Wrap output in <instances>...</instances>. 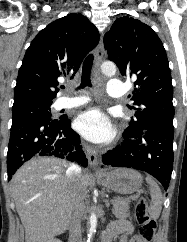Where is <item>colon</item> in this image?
Segmentation results:
<instances>
[{
	"label": "colon",
	"mask_w": 187,
	"mask_h": 242,
	"mask_svg": "<svg viewBox=\"0 0 187 242\" xmlns=\"http://www.w3.org/2000/svg\"><path fill=\"white\" fill-rule=\"evenodd\" d=\"M147 207V201L143 197H141L136 203L135 220L139 228V232L135 238V242H151L156 232V220L150 217Z\"/></svg>",
	"instance_id": "1"
}]
</instances>
